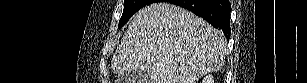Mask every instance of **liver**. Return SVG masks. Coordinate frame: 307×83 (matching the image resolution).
<instances>
[{"label":"liver","instance_id":"liver-1","mask_svg":"<svg viewBox=\"0 0 307 83\" xmlns=\"http://www.w3.org/2000/svg\"><path fill=\"white\" fill-rule=\"evenodd\" d=\"M227 40L202 18L179 6L153 3L138 11L116 49L115 74L144 70L149 83H196L221 70Z\"/></svg>","mask_w":307,"mask_h":83}]
</instances>
